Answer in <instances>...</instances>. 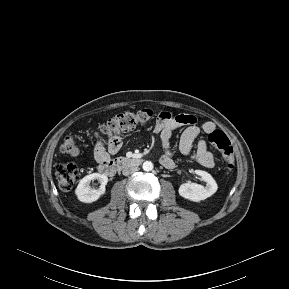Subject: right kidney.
Returning a JSON list of instances; mask_svg holds the SVG:
<instances>
[{
	"label": "right kidney",
	"mask_w": 289,
	"mask_h": 289,
	"mask_svg": "<svg viewBox=\"0 0 289 289\" xmlns=\"http://www.w3.org/2000/svg\"><path fill=\"white\" fill-rule=\"evenodd\" d=\"M93 180H98L101 184L98 189H92L90 183ZM108 182V177L100 173H92L82 178L75 189V194L79 201L84 203H92L100 198L105 193V186Z\"/></svg>",
	"instance_id": "ca27d5eb"
}]
</instances>
